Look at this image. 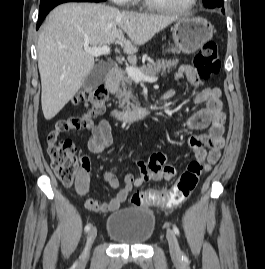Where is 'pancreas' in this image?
<instances>
[{
	"instance_id": "obj_1",
	"label": "pancreas",
	"mask_w": 265,
	"mask_h": 269,
	"mask_svg": "<svg viewBox=\"0 0 265 269\" xmlns=\"http://www.w3.org/2000/svg\"><path fill=\"white\" fill-rule=\"evenodd\" d=\"M178 60H157L152 65H147V67H142L140 71L148 77H154L157 74H165L170 72L174 67H176ZM134 80L127 74L126 71L118 70L115 77L114 90L116 97L119 100V108L122 110L130 111L139 105V101L132 94V87ZM133 103H131V101Z\"/></svg>"
}]
</instances>
